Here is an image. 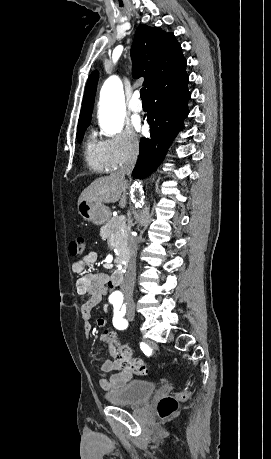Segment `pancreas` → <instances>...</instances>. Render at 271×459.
Listing matches in <instances>:
<instances>
[{"mask_svg":"<svg viewBox=\"0 0 271 459\" xmlns=\"http://www.w3.org/2000/svg\"><path fill=\"white\" fill-rule=\"evenodd\" d=\"M127 231L128 228L125 218L119 216V218H112L106 226H102L100 235H102L103 239H107L108 237V243L110 245H116L118 249H121V247H125L127 243ZM120 253L124 254L125 250L121 249Z\"/></svg>","mask_w":271,"mask_h":459,"instance_id":"pancreas-1","label":"pancreas"}]
</instances>
